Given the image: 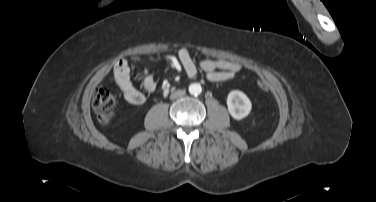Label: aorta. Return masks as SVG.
I'll return each instance as SVG.
<instances>
[{
    "mask_svg": "<svg viewBox=\"0 0 376 202\" xmlns=\"http://www.w3.org/2000/svg\"><path fill=\"white\" fill-rule=\"evenodd\" d=\"M202 92V87L199 83H192L189 86V93L191 95L197 96Z\"/></svg>",
    "mask_w": 376,
    "mask_h": 202,
    "instance_id": "aorta-1",
    "label": "aorta"
}]
</instances>
